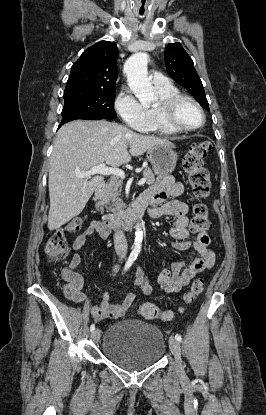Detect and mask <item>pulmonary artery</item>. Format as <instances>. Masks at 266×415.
Returning <instances> with one entry per match:
<instances>
[{"instance_id": "obj_1", "label": "pulmonary artery", "mask_w": 266, "mask_h": 415, "mask_svg": "<svg viewBox=\"0 0 266 415\" xmlns=\"http://www.w3.org/2000/svg\"><path fill=\"white\" fill-rule=\"evenodd\" d=\"M152 82L154 83V85H163L169 83V80L161 73L154 72L152 74Z\"/></svg>"}]
</instances>
